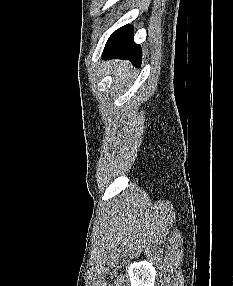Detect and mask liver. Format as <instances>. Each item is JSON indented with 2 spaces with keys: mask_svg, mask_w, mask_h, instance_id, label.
Here are the masks:
<instances>
[{
  "mask_svg": "<svg viewBox=\"0 0 233 286\" xmlns=\"http://www.w3.org/2000/svg\"><path fill=\"white\" fill-rule=\"evenodd\" d=\"M114 65V79L116 83L127 80L130 77L129 62L114 60L111 62Z\"/></svg>",
  "mask_w": 233,
  "mask_h": 286,
  "instance_id": "obj_1",
  "label": "liver"
}]
</instances>
